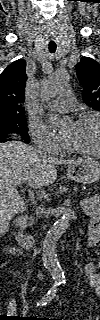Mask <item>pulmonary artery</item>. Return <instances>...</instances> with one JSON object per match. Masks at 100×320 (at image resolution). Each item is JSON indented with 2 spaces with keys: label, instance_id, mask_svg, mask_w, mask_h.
<instances>
[{
  "label": "pulmonary artery",
  "instance_id": "1",
  "mask_svg": "<svg viewBox=\"0 0 100 320\" xmlns=\"http://www.w3.org/2000/svg\"><path fill=\"white\" fill-rule=\"evenodd\" d=\"M74 97L68 89L60 92L59 97L51 103V106L60 112L71 111L74 107Z\"/></svg>",
  "mask_w": 100,
  "mask_h": 320
}]
</instances>
